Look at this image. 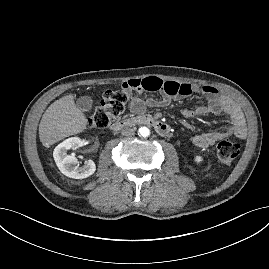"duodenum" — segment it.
<instances>
[{
    "label": "duodenum",
    "mask_w": 269,
    "mask_h": 269,
    "mask_svg": "<svg viewBox=\"0 0 269 269\" xmlns=\"http://www.w3.org/2000/svg\"><path fill=\"white\" fill-rule=\"evenodd\" d=\"M138 124H146L155 128V130L162 136H167L170 134V126L151 115H139L133 118H127L123 120L116 121L111 124L110 130L117 132L124 127L135 126Z\"/></svg>",
    "instance_id": "1"
}]
</instances>
